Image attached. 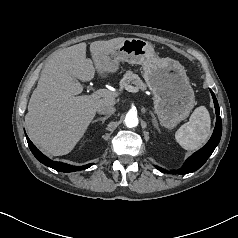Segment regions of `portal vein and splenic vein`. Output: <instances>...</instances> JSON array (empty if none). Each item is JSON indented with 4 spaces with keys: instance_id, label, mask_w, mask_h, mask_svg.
Wrapping results in <instances>:
<instances>
[{
    "instance_id": "1",
    "label": "portal vein and splenic vein",
    "mask_w": 238,
    "mask_h": 238,
    "mask_svg": "<svg viewBox=\"0 0 238 238\" xmlns=\"http://www.w3.org/2000/svg\"><path fill=\"white\" fill-rule=\"evenodd\" d=\"M127 91H130V92H137L138 89L132 87L131 85H129L127 88H126ZM117 96V93H114V92H111L107 89H99L97 91H95L91 97L92 98H95V99H98V98H101V97H106V98H110V97H115Z\"/></svg>"
}]
</instances>
